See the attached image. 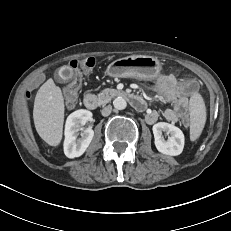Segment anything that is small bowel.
I'll return each instance as SVG.
<instances>
[{
	"instance_id": "obj_1",
	"label": "small bowel",
	"mask_w": 231,
	"mask_h": 231,
	"mask_svg": "<svg viewBox=\"0 0 231 231\" xmlns=\"http://www.w3.org/2000/svg\"><path fill=\"white\" fill-rule=\"evenodd\" d=\"M155 90L159 99L171 105V108L164 110L162 116L169 123H177L186 118L189 109V99L182 90V84L173 76L165 75L156 82ZM160 114L156 110H147L146 122L154 124L158 121Z\"/></svg>"
}]
</instances>
